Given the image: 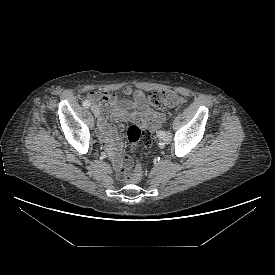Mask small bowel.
I'll return each instance as SVG.
<instances>
[{"instance_id": "obj_1", "label": "small bowel", "mask_w": 275, "mask_h": 275, "mask_svg": "<svg viewBox=\"0 0 275 275\" xmlns=\"http://www.w3.org/2000/svg\"><path fill=\"white\" fill-rule=\"evenodd\" d=\"M122 93L132 99L120 100L108 91H93L88 97L91 101L99 102L101 106L102 113L98 119L99 139L108 151L118 177L125 178L122 165L123 162L127 164L129 159L126 157L123 160L120 156L124 145L119 139L116 125L110 120L135 122L142 130L151 133L165 122L166 116L148 106L144 91L127 86L122 89Z\"/></svg>"}]
</instances>
